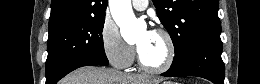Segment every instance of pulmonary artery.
Returning a JSON list of instances; mask_svg holds the SVG:
<instances>
[{"instance_id":"e3ab8cb5","label":"pulmonary artery","mask_w":260,"mask_h":84,"mask_svg":"<svg viewBox=\"0 0 260 84\" xmlns=\"http://www.w3.org/2000/svg\"><path fill=\"white\" fill-rule=\"evenodd\" d=\"M132 5L136 10H144L148 5V1L134 0V1H132Z\"/></svg>"}]
</instances>
